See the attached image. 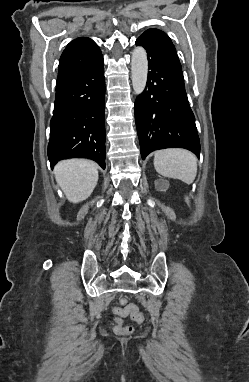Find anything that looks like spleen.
Wrapping results in <instances>:
<instances>
[{
  "instance_id": "obj_1",
  "label": "spleen",
  "mask_w": 249,
  "mask_h": 382,
  "mask_svg": "<svg viewBox=\"0 0 249 382\" xmlns=\"http://www.w3.org/2000/svg\"><path fill=\"white\" fill-rule=\"evenodd\" d=\"M154 167L164 177L191 184L197 174V158L185 149H163L154 153Z\"/></svg>"
}]
</instances>
